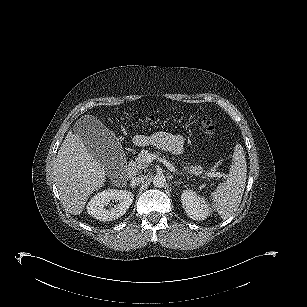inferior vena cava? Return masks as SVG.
Listing matches in <instances>:
<instances>
[{
    "label": "inferior vena cava",
    "mask_w": 307,
    "mask_h": 307,
    "mask_svg": "<svg viewBox=\"0 0 307 307\" xmlns=\"http://www.w3.org/2000/svg\"><path fill=\"white\" fill-rule=\"evenodd\" d=\"M144 181V177L143 176H138L132 179V184L134 185H138L140 183H142Z\"/></svg>",
    "instance_id": "1"
}]
</instances>
